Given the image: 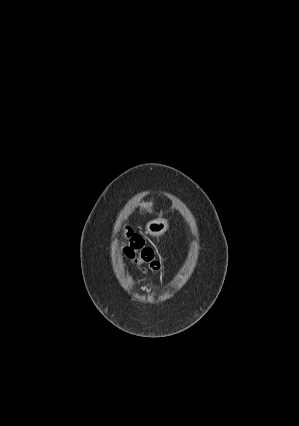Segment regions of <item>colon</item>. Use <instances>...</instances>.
<instances>
[{
    "label": "colon",
    "instance_id": "colon-1",
    "mask_svg": "<svg viewBox=\"0 0 299 426\" xmlns=\"http://www.w3.org/2000/svg\"><path fill=\"white\" fill-rule=\"evenodd\" d=\"M123 246L125 255L134 260L144 273H153L160 267L154 250L145 245L143 238L135 233L130 227L123 230Z\"/></svg>",
    "mask_w": 299,
    "mask_h": 426
}]
</instances>
